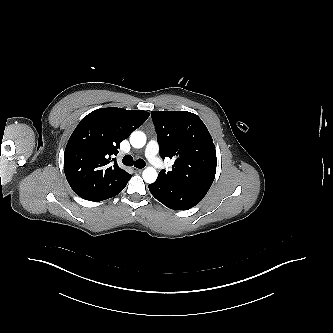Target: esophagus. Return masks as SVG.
Instances as JSON below:
<instances>
[{"mask_svg": "<svg viewBox=\"0 0 333 333\" xmlns=\"http://www.w3.org/2000/svg\"><path fill=\"white\" fill-rule=\"evenodd\" d=\"M135 172H139L141 173L143 169H139V168H134Z\"/></svg>", "mask_w": 333, "mask_h": 333, "instance_id": "1", "label": "esophagus"}]
</instances>
